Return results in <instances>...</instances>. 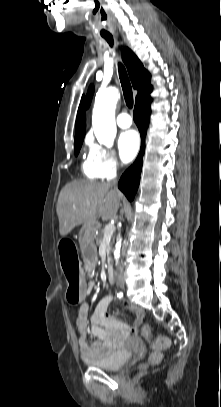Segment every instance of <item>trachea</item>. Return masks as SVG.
<instances>
[{
	"label": "trachea",
	"instance_id": "trachea-1",
	"mask_svg": "<svg viewBox=\"0 0 221 407\" xmlns=\"http://www.w3.org/2000/svg\"><path fill=\"white\" fill-rule=\"evenodd\" d=\"M104 39L109 43L111 47H113L114 41L112 36H105ZM119 78L125 98L126 105L131 109L133 107V94H132V87L127 75V72L124 66L119 63Z\"/></svg>",
	"mask_w": 221,
	"mask_h": 407
}]
</instances>
